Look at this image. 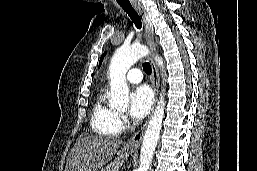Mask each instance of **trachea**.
I'll use <instances>...</instances> for the list:
<instances>
[{"label":"trachea","instance_id":"1","mask_svg":"<svg viewBox=\"0 0 257 171\" xmlns=\"http://www.w3.org/2000/svg\"><path fill=\"white\" fill-rule=\"evenodd\" d=\"M119 5L123 8V10L128 14L132 22L135 24L137 29H140L142 27V22L141 18L136 12V10L133 8L131 3H119ZM143 69L144 71L148 74L151 75L152 69L151 65L148 62H145L143 64Z\"/></svg>","mask_w":257,"mask_h":171}]
</instances>
